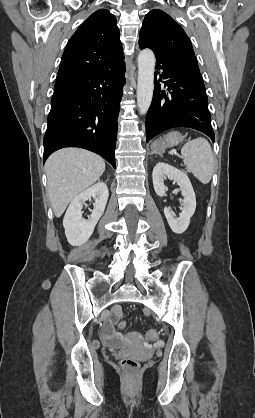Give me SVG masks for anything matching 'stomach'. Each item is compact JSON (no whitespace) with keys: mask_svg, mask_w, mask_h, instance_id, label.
Listing matches in <instances>:
<instances>
[{"mask_svg":"<svg viewBox=\"0 0 255 418\" xmlns=\"http://www.w3.org/2000/svg\"><path fill=\"white\" fill-rule=\"evenodd\" d=\"M182 140H183V137L179 132L177 131L170 132L162 140L156 141L152 144V151L153 152L164 151L168 147L178 145Z\"/></svg>","mask_w":255,"mask_h":418,"instance_id":"stomach-1","label":"stomach"}]
</instances>
